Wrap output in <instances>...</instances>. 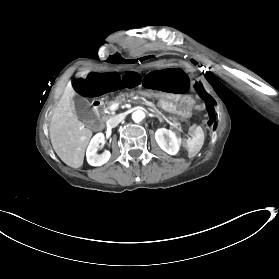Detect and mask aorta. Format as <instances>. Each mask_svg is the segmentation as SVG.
Returning <instances> with one entry per match:
<instances>
[{
  "mask_svg": "<svg viewBox=\"0 0 279 279\" xmlns=\"http://www.w3.org/2000/svg\"><path fill=\"white\" fill-rule=\"evenodd\" d=\"M145 118V113L142 110H137L132 114V119L134 122H140Z\"/></svg>",
  "mask_w": 279,
  "mask_h": 279,
  "instance_id": "aorta-1",
  "label": "aorta"
}]
</instances>
